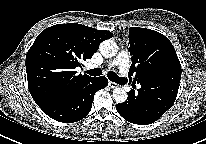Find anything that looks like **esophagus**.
<instances>
[{
  "instance_id": "34e87169",
  "label": "esophagus",
  "mask_w": 206,
  "mask_h": 144,
  "mask_svg": "<svg viewBox=\"0 0 206 144\" xmlns=\"http://www.w3.org/2000/svg\"><path fill=\"white\" fill-rule=\"evenodd\" d=\"M109 86H110L111 88H116V87H118V84H117L116 82L109 81Z\"/></svg>"
}]
</instances>
